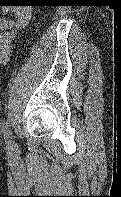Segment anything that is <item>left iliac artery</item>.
Instances as JSON below:
<instances>
[{
    "instance_id": "44dca946",
    "label": "left iliac artery",
    "mask_w": 121,
    "mask_h": 197,
    "mask_svg": "<svg viewBox=\"0 0 121 197\" xmlns=\"http://www.w3.org/2000/svg\"><path fill=\"white\" fill-rule=\"evenodd\" d=\"M3 133H4V138L5 141L13 146L14 145V141L12 140V136H11V131H10V127H9V122L6 121L3 125Z\"/></svg>"
}]
</instances>
